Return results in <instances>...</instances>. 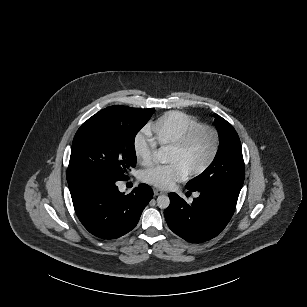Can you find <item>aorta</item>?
<instances>
[{
    "instance_id": "1",
    "label": "aorta",
    "mask_w": 307,
    "mask_h": 307,
    "mask_svg": "<svg viewBox=\"0 0 307 307\" xmlns=\"http://www.w3.org/2000/svg\"><path fill=\"white\" fill-rule=\"evenodd\" d=\"M168 154L166 147L162 146L158 149L157 158L160 163H168ZM170 204V199L167 195H160L157 198V205L161 209H166Z\"/></svg>"
}]
</instances>
